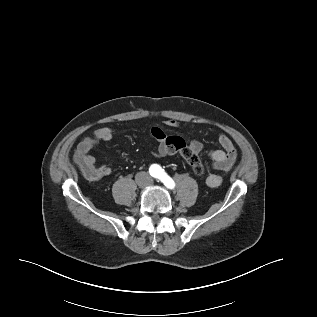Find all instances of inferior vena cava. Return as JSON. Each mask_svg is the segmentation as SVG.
<instances>
[{
    "instance_id": "602c4592",
    "label": "inferior vena cava",
    "mask_w": 317,
    "mask_h": 317,
    "mask_svg": "<svg viewBox=\"0 0 317 317\" xmlns=\"http://www.w3.org/2000/svg\"><path fill=\"white\" fill-rule=\"evenodd\" d=\"M135 180L139 184H148L151 180V177L148 175V173L142 171L136 174Z\"/></svg>"
}]
</instances>
